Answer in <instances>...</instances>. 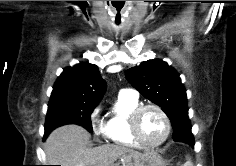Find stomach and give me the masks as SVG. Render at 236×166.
<instances>
[{"mask_svg": "<svg viewBox=\"0 0 236 166\" xmlns=\"http://www.w3.org/2000/svg\"><path fill=\"white\" fill-rule=\"evenodd\" d=\"M123 166H165V161L157 152L151 151L145 153L138 165L132 163L127 165L123 164Z\"/></svg>", "mask_w": 236, "mask_h": 166, "instance_id": "obj_1", "label": "stomach"}]
</instances>
